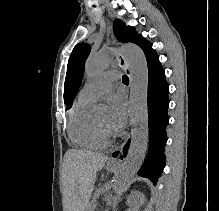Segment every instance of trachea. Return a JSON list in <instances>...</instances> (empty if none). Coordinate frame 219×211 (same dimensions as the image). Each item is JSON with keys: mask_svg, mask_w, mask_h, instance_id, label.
<instances>
[{"mask_svg": "<svg viewBox=\"0 0 219 211\" xmlns=\"http://www.w3.org/2000/svg\"><path fill=\"white\" fill-rule=\"evenodd\" d=\"M122 81L124 84H128L129 83V78L126 75H123Z\"/></svg>", "mask_w": 219, "mask_h": 211, "instance_id": "trachea-1", "label": "trachea"}]
</instances>
